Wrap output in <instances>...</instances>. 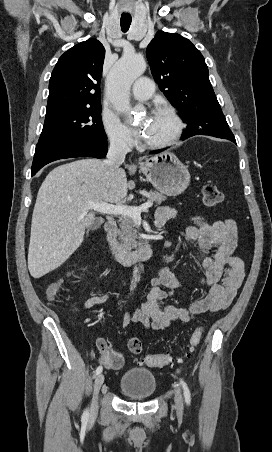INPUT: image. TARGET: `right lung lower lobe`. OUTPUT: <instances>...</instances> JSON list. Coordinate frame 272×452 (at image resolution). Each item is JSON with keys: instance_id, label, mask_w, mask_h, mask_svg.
<instances>
[{"instance_id": "98d812e1", "label": "right lung lower lobe", "mask_w": 272, "mask_h": 452, "mask_svg": "<svg viewBox=\"0 0 272 452\" xmlns=\"http://www.w3.org/2000/svg\"><path fill=\"white\" fill-rule=\"evenodd\" d=\"M107 150V140L101 142L71 140L39 143L35 150L31 176H34L43 166L55 160L81 156L103 158L107 154Z\"/></svg>"}]
</instances>
